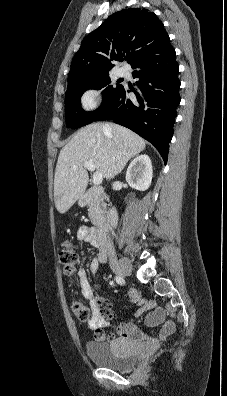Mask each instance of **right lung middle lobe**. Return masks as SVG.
Listing matches in <instances>:
<instances>
[{
	"label": "right lung middle lobe",
	"mask_w": 227,
	"mask_h": 396,
	"mask_svg": "<svg viewBox=\"0 0 227 396\" xmlns=\"http://www.w3.org/2000/svg\"><path fill=\"white\" fill-rule=\"evenodd\" d=\"M111 80L109 73L92 78L86 81L75 84L67 89L65 110H66V124L72 129L85 126L94 121L96 115L112 100L115 94L121 89L122 85L117 84L116 87L110 85ZM105 89L102 91L103 103L99 109L93 112H85L81 108L80 98L84 91L88 89Z\"/></svg>",
	"instance_id": "right-lung-middle-lobe-1"
}]
</instances>
